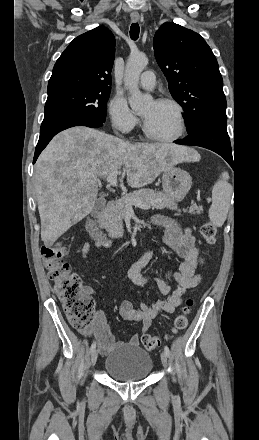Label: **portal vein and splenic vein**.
I'll use <instances>...</instances> for the list:
<instances>
[{
	"mask_svg": "<svg viewBox=\"0 0 259 440\" xmlns=\"http://www.w3.org/2000/svg\"><path fill=\"white\" fill-rule=\"evenodd\" d=\"M118 172H112V173H110L107 177H106V180H107V182L108 183H110L112 186H114V187H116L117 185H118V183H117V176H118ZM125 201H126V203L128 204V205H135V206H137V207H139V208H142V209H150V206L149 205H147V204H145V203H142L141 201H139V200H136V199H133V198H130V197H127L126 199H125Z\"/></svg>",
	"mask_w": 259,
	"mask_h": 440,
	"instance_id": "portal-vein-and-splenic-vein-1",
	"label": "portal vein and splenic vein"
}]
</instances>
